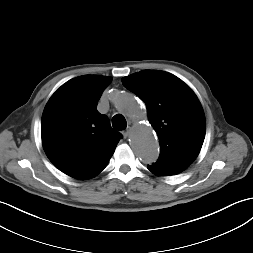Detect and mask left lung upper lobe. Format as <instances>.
Returning a JSON list of instances; mask_svg holds the SVG:
<instances>
[{
  "label": "left lung upper lobe",
  "mask_w": 253,
  "mask_h": 253,
  "mask_svg": "<svg viewBox=\"0 0 253 253\" xmlns=\"http://www.w3.org/2000/svg\"><path fill=\"white\" fill-rule=\"evenodd\" d=\"M123 85L141 98L160 143L153 164L185 170L202 147L206 122L202 106L191 88L178 77L160 70H143L122 79Z\"/></svg>",
  "instance_id": "1"
}]
</instances>
